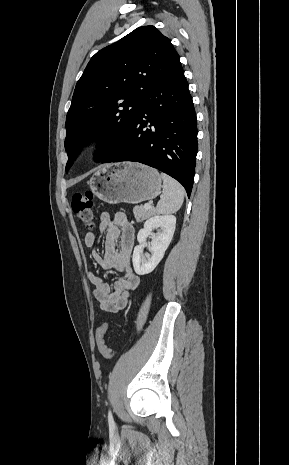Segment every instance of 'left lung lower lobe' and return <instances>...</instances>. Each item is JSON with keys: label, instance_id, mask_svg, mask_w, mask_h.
<instances>
[{"label": "left lung lower lobe", "instance_id": "1", "mask_svg": "<svg viewBox=\"0 0 289 465\" xmlns=\"http://www.w3.org/2000/svg\"><path fill=\"white\" fill-rule=\"evenodd\" d=\"M196 154V114L180 66L145 94L121 143L101 163L146 164L178 180L190 196Z\"/></svg>", "mask_w": 289, "mask_h": 465}]
</instances>
